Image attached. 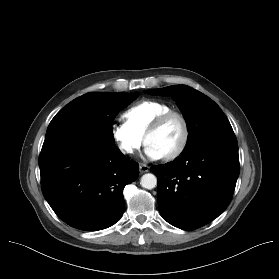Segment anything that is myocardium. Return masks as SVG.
<instances>
[{
	"instance_id": "f54148a6",
	"label": "myocardium",
	"mask_w": 279,
	"mask_h": 279,
	"mask_svg": "<svg viewBox=\"0 0 279 279\" xmlns=\"http://www.w3.org/2000/svg\"><path fill=\"white\" fill-rule=\"evenodd\" d=\"M175 117L177 118L182 125V129H183V134H182V139L179 143V145L176 147L175 150H173L172 152H170L169 154L163 156L164 160H173L177 157H179L186 149L188 143H189V139H190V126H189V122L187 120V118L185 117L184 114H182L179 111H174V110H169L167 112L162 113L161 115H159L151 124L150 126L147 128V130L144 133L143 139H144V143L146 144V139L147 136L151 133L156 132L157 130H159L163 124L170 118Z\"/></svg>"
}]
</instances>
